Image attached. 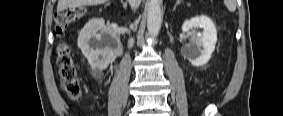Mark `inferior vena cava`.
Wrapping results in <instances>:
<instances>
[{
  "instance_id": "602c4592",
  "label": "inferior vena cava",
  "mask_w": 283,
  "mask_h": 116,
  "mask_svg": "<svg viewBox=\"0 0 283 116\" xmlns=\"http://www.w3.org/2000/svg\"><path fill=\"white\" fill-rule=\"evenodd\" d=\"M132 9H137L140 6L141 0H128Z\"/></svg>"
}]
</instances>
